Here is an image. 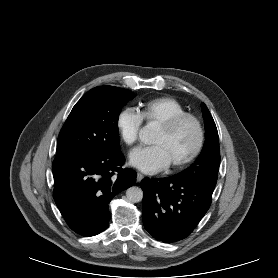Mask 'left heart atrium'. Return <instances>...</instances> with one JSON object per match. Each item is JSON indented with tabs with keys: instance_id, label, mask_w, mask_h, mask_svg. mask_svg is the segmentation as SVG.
Returning a JSON list of instances; mask_svg holds the SVG:
<instances>
[{
	"instance_id": "39dd6f15",
	"label": "left heart atrium",
	"mask_w": 278,
	"mask_h": 278,
	"mask_svg": "<svg viewBox=\"0 0 278 278\" xmlns=\"http://www.w3.org/2000/svg\"><path fill=\"white\" fill-rule=\"evenodd\" d=\"M130 163L139 170L155 174L170 165V161L160 145L139 147L130 153Z\"/></svg>"
}]
</instances>
